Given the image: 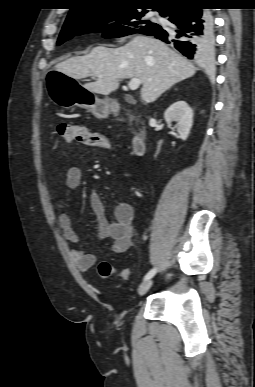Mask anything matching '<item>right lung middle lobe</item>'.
I'll return each instance as SVG.
<instances>
[{
    "mask_svg": "<svg viewBox=\"0 0 255 387\" xmlns=\"http://www.w3.org/2000/svg\"><path fill=\"white\" fill-rule=\"evenodd\" d=\"M162 15L164 11L155 9ZM147 13L139 12L135 7H116L113 9L96 10L72 22H65L59 35L57 45L71 39L75 35L103 31V37L115 38L132 33H142L146 28L158 26L152 21L142 20ZM112 22L107 25V23Z\"/></svg>",
    "mask_w": 255,
    "mask_h": 387,
    "instance_id": "right-lung-middle-lobe-1",
    "label": "right lung middle lobe"
}]
</instances>
